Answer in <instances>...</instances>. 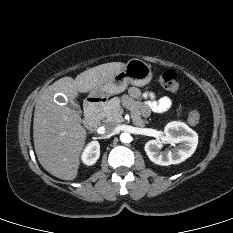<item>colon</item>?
<instances>
[{"label": "colon", "instance_id": "1", "mask_svg": "<svg viewBox=\"0 0 233 233\" xmlns=\"http://www.w3.org/2000/svg\"><path fill=\"white\" fill-rule=\"evenodd\" d=\"M161 86L170 92H176L179 89V82L177 74L172 70L163 72L159 78ZM200 120V113L197 109L190 111L188 115V122L191 125H197Z\"/></svg>", "mask_w": 233, "mask_h": 233}]
</instances>
